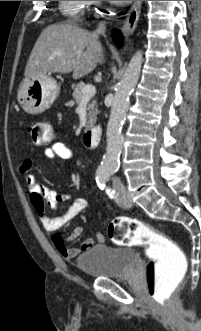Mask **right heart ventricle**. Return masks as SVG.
Masks as SVG:
<instances>
[{
  "label": "right heart ventricle",
  "instance_id": "right-heart-ventricle-1",
  "mask_svg": "<svg viewBox=\"0 0 201 331\" xmlns=\"http://www.w3.org/2000/svg\"><path fill=\"white\" fill-rule=\"evenodd\" d=\"M59 8L67 20L78 23L82 20L84 1H59Z\"/></svg>",
  "mask_w": 201,
  "mask_h": 331
}]
</instances>
